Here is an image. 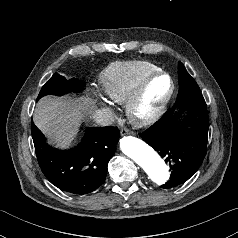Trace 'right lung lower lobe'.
<instances>
[{
  "instance_id": "obj_1",
  "label": "right lung lower lobe",
  "mask_w": 238,
  "mask_h": 238,
  "mask_svg": "<svg viewBox=\"0 0 238 238\" xmlns=\"http://www.w3.org/2000/svg\"><path fill=\"white\" fill-rule=\"evenodd\" d=\"M31 134L46 178L60 190L79 195L91 193L104 183L120 135L116 127H88L78 146L61 150L49 145L33 122Z\"/></svg>"
}]
</instances>
